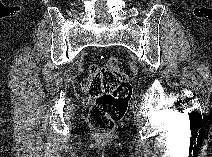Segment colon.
<instances>
[{
	"label": "colon",
	"mask_w": 212,
	"mask_h": 157,
	"mask_svg": "<svg viewBox=\"0 0 212 157\" xmlns=\"http://www.w3.org/2000/svg\"><path fill=\"white\" fill-rule=\"evenodd\" d=\"M84 88L95 98L88 116L90 125L101 136H110L115 124L124 117L132 96L121 61L108 56L103 65H93Z\"/></svg>",
	"instance_id": "colon-1"
}]
</instances>
